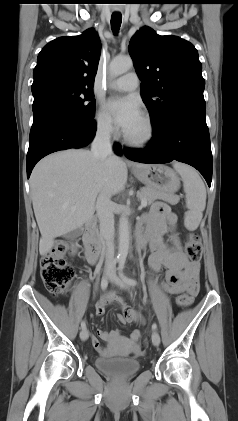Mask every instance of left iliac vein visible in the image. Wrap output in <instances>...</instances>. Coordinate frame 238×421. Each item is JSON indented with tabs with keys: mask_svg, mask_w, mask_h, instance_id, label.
<instances>
[{
	"mask_svg": "<svg viewBox=\"0 0 238 421\" xmlns=\"http://www.w3.org/2000/svg\"><path fill=\"white\" fill-rule=\"evenodd\" d=\"M109 280L112 283L118 285L119 287H121L123 289H127V285L124 282H122L118 278V276L116 275V270H115L114 267L111 269V271L109 273ZM151 339H152V343H153L154 346H159V344H160V336H159V333L157 331H153L152 336H151Z\"/></svg>",
	"mask_w": 238,
	"mask_h": 421,
	"instance_id": "obj_1",
	"label": "left iliac vein"
}]
</instances>
